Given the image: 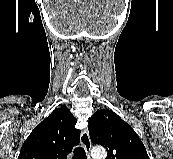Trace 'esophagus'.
I'll return each instance as SVG.
<instances>
[{"instance_id": "34e87169", "label": "esophagus", "mask_w": 173, "mask_h": 159, "mask_svg": "<svg viewBox=\"0 0 173 159\" xmlns=\"http://www.w3.org/2000/svg\"><path fill=\"white\" fill-rule=\"evenodd\" d=\"M80 140H81V144L84 147L85 152L88 155V159H90V151H91L92 144H91V140H90L88 129H84L81 132V139Z\"/></svg>"}]
</instances>
